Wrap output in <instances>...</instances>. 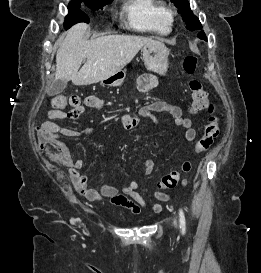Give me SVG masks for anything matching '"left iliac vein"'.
<instances>
[{"instance_id": "4c4485c4", "label": "left iliac vein", "mask_w": 261, "mask_h": 273, "mask_svg": "<svg viewBox=\"0 0 261 273\" xmlns=\"http://www.w3.org/2000/svg\"><path fill=\"white\" fill-rule=\"evenodd\" d=\"M173 223H174V226L177 227V220L176 219L174 220Z\"/></svg>"}]
</instances>
